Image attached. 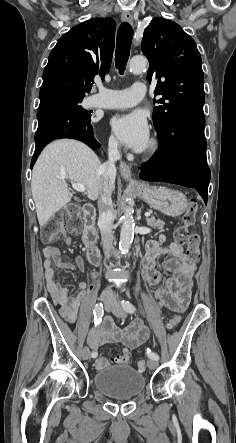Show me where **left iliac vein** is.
I'll return each instance as SVG.
<instances>
[{
  "instance_id": "4c4485c4",
  "label": "left iliac vein",
  "mask_w": 236,
  "mask_h": 443,
  "mask_svg": "<svg viewBox=\"0 0 236 443\" xmlns=\"http://www.w3.org/2000/svg\"><path fill=\"white\" fill-rule=\"evenodd\" d=\"M111 312H112L116 317H119V318H125V317H126V312H125L124 309H123L120 305H118V304L113 305V308L111 309ZM158 365H159V363H158L157 360L150 359V360L148 361V367H149V369L154 370V369H156V368L158 367Z\"/></svg>"
}]
</instances>
